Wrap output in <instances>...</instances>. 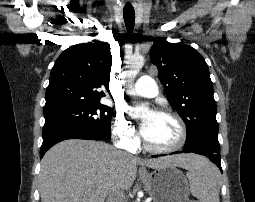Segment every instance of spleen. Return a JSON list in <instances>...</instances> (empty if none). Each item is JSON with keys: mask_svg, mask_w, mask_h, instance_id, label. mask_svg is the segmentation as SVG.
<instances>
[{"mask_svg": "<svg viewBox=\"0 0 255 202\" xmlns=\"http://www.w3.org/2000/svg\"><path fill=\"white\" fill-rule=\"evenodd\" d=\"M200 157V156H199ZM190 191L197 202H220V172L206 158L197 159L186 173Z\"/></svg>", "mask_w": 255, "mask_h": 202, "instance_id": "spleen-1", "label": "spleen"}]
</instances>
